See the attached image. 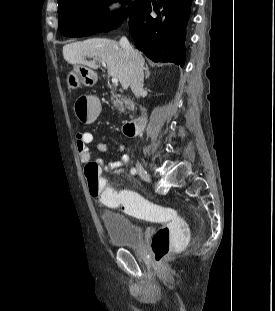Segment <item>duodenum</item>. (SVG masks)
I'll return each mask as SVG.
<instances>
[{"label": "duodenum", "instance_id": "1", "mask_svg": "<svg viewBox=\"0 0 275 311\" xmlns=\"http://www.w3.org/2000/svg\"><path fill=\"white\" fill-rule=\"evenodd\" d=\"M146 124V109L141 107V114L131 121L125 122L122 126L123 132L126 136H134L139 134Z\"/></svg>", "mask_w": 275, "mask_h": 311}]
</instances>
